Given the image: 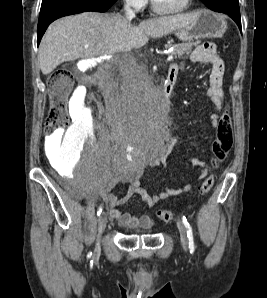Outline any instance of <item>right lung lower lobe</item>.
Segmentation results:
<instances>
[{
  "mask_svg": "<svg viewBox=\"0 0 267 298\" xmlns=\"http://www.w3.org/2000/svg\"><path fill=\"white\" fill-rule=\"evenodd\" d=\"M117 0H43L38 21L37 44L54 20L85 11H107Z\"/></svg>",
  "mask_w": 267,
  "mask_h": 298,
  "instance_id": "obj_1",
  "label": "right lung lower lobe"
}]
</instances>
